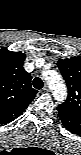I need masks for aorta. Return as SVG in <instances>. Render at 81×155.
I'll use <instances>...</instances> for the list:
<instances>
[{
	"label": "aorta",
	"instance_id": "762f6f07",
	"mask_svg": "<svg viewBox=\"0 0 81 155\" xmlns=\"http://www.w3.org/2000/svg\"><path fill=\"white\" fill-rule=\"evenodd\" d=\"M44 78L47 81L53 96L58 101H63L66 98V86L61 76L54 70L44 72Z\"/></svg>",
	"mask_w": 81,
	"mask_h": 155
}]
</instances>
